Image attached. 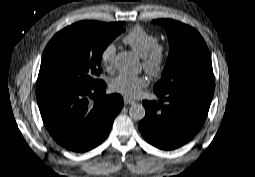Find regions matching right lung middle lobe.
<instances>
[{
	"label": "right lung middle lobe",
	"mask_w": 255,
	"mask_h": 177,
	"mask_svg": "<svg viewBox=\"0 0 255 177\" xmlns=\"http://www.w3.org/2000/svg\"><path fill=\"white\" fill-rule=\"evenodd\" d=\"M115 28L81 21L58 32L46 46L37 80V88L61 85L92 88L102 80L100 62L103 51L121 32Z\"/></svg>",
	"instance_id": "right-lung-middle-lobe-1"
}]
</instances>
